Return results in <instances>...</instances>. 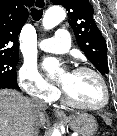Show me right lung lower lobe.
I'll use <instances>...</instances> for the list:
<instances>
[{
	"instance_id": "right-lung-lower-lobe-1",
	"label": "right lung lower lobe",
	"mask_w": 117,
	"mask_h": 136,
	"mask_svg": "<svg viewBox=\"0 0 117 136\" xmlns=\"http://www.w3.org/2000/svg\"><path fill=\"white\" fill-rule=\"evenodd\" d=\"M0 88H17V89H20L15 80H0Z\"/></svg>"
}]
</instances>
